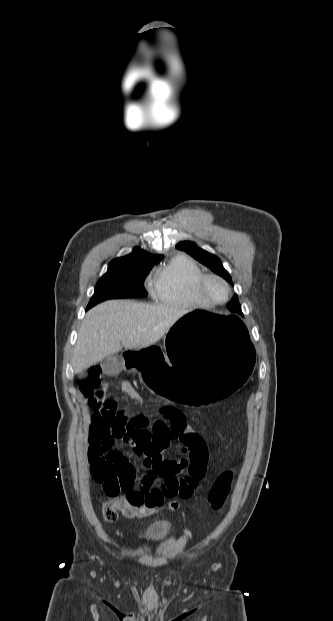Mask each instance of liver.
Segmentation results:
<instances>
[{
  "mask_svg": "<svg viewBox=\"0 0 333 621\" xmlns=\"http://www.w3.org/2000/svg\"><path fill=\"white\" fill-rule=\"evenodd\" d=\"M185 310L129 300H110L92 308L82 322L72 357L75 372L125 349L155 344Z\"/></svg>",
  "mask_w": 333,
  "mask_h": 621,
  "instance_id": "liver-1",
  "label": "liver"
}]
</instances>
